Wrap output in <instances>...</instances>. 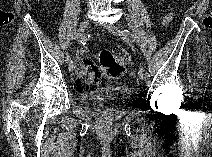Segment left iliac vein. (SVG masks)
I'll list each match as a JSON object with an SVG mask.
<instances>
[{"mask_svg": "<svg viewBox=\"0 0 212 157\" xmlns=\"http://www.w3.org/2000/svg\"><path fill=\"white\" fill-rule=\"evenodd\" d=\"M105 28L112 33L115 36H123V30H121L119 27L115 26V25H105ZM144 69L140 68L138 71V77L139 79L143 80L145 79V75H144Z\"/></svg>", "mask_w": 212, "mask_h": 157, "instance_id": "obj_1", "label": "left iliac vein"}]
</instances>
